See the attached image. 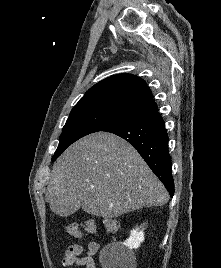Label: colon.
<instances>
[{
	"label": "colon",
	"mask_w": 221,
	"mask_h": 268,
	"mask_svg": "<svg viewBox=\"0 0 221 268\" xmlns=\"http://www.w3.org/2000/svg\"><path fill=\"white\" fill-rule=\"evenodd\" d=\"M103 224L110 232H116L119 229V223L114 219H104ZM66 232L74 237L81 239L84 235H92L96 230V222L92 219L84 221L82 224H68L65 226Z\"/></svg>",
	"instance_id": "5ec220e1"
}]
</instances>
